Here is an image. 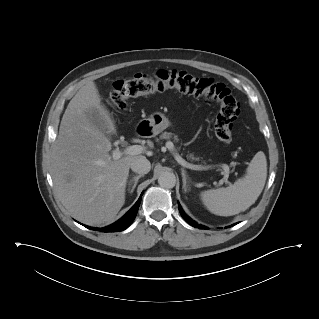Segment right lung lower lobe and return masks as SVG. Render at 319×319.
<instances>
[{
  "label": "right lung lower lobe",
  "instance_id": "1",
  "mask_svg": "<svg viewBox=\"0 0 319 319\" xmlns=\"http://www.w3.org/2000/svg\"><path fill=\"white\" fill-rule=\"evenodd\" d=\"M142 196V194H141ZM141 196L138 199V201L133 205V207L117 222H115L114 224L104 227V228H93V227H88L85 226L89 229L92 230H99L101 232H119V231H123L125 230L134 220V218L136 217L140 202H141Z\"/></svg>",
  "mask_w": 319,
  "mask_h": 319
}]
</instances>
